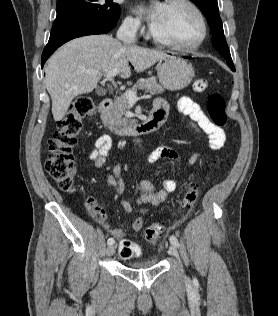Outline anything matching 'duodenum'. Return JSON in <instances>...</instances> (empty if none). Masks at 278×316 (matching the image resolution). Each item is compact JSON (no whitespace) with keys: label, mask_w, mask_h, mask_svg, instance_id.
Here are the masks:
<instances>
[{"label":"duodenum","mask_w":278,"mask_h":316,"mask_svg":"<svg viewBox=\"0 0 278 316\" xmlns=\"http://www.w3.org/2000/svg\"><path fill=\"white\" fill-rule=\"evenodd\" d=\"M113 106V100L106 98L98 105L101 126L117 135H141L155 132L164 122L165 114L160 109H153L148 118L142 122L134 123L126 127L115 128L108 121V114Z\"/></svg>","instance_id":"obj_1"}]
</instances>
